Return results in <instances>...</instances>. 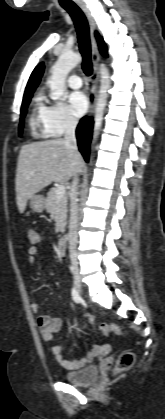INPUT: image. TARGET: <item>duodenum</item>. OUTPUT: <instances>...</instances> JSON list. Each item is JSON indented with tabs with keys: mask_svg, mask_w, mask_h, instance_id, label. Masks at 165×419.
Returning <instances> with one entry per match:
<instances>
[{
	"mask_svg": "<svg viewBox=\"0 0 165 419\" xmlns=\"http://www.w3.org/2000/svg\"><path fill=\"white\" fill-rule=\"evenodd\" d=\"M66 236H61L57 242L58 251L61 255L66 252Z\"/></svg>",
	"mask_w": 165,
	"mask_h": 419,
	"instance_id": "obj_1",
	"label": "duodenum"
}]
</instances>
